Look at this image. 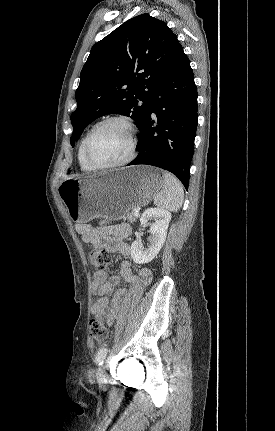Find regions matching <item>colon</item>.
I'll use <instances>...</instances> for the list:
<instances>
[{"mask_svg":"<svg viewBox=\"0 0 275 431\" xmlns=\"http://www.w3.org/2000/svg\"><path fill=\"white\" fill-rule=\"evenodd\" d=\"M89 260L96 271L102 272L111 262V255L105 249H92L89 252ZM89 332L91 338L98 344L104 343L109 334L105 323L96 317L90 321Z\"/></svg>","mask_w":275,"mask_h":431,"instance_id":"obj_1","label":"colon"}]
</instances>
